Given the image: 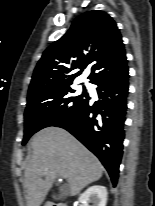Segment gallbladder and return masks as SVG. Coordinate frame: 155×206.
Here are the masks:
<instances>
[{"instance_id":"gallbladder-1","label":"gallbladder","mask_w":155,"mask_h":206,"mask_svg":"<svg viewBox=\"0 0 155 206\" xmlns=\"http://www.w3.org/2000/svg\"><path fill=\"white\" fill-rule=\"evenodd\" d=\"M53 198H54L55 200H59V199L61 198V195H54Z\"/></svg>"}]
</instances>
